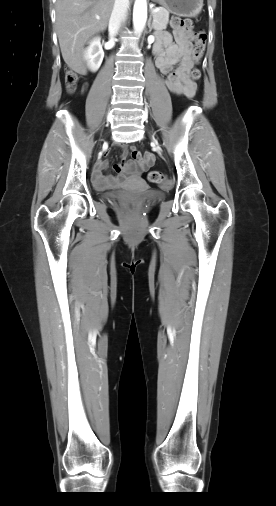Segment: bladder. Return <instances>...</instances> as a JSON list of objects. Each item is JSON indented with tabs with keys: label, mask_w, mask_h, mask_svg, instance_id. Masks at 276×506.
I'll list each match as a JSON object with an SVG mask.
<instances>
[{
	"label": "bladder",
	"mask_w": 276,
	"mask_h": 506,
	"mask_svg": "<svg viewBox=\"0 0 276 506\" xmlns=\"http://www.w3.org/2000/svg\"><path fill=\"white\" fill-rule=\"evenodd\" d=\"M122 196L120 192H108L103 194V198L109 201L119 200ZM141 197L147 199L161 200L164 198V193L160 190H150L148 189L145 193L141 195Z\"/></svg>",
	"instance_id": "bladder-1"
}]
</instances>
